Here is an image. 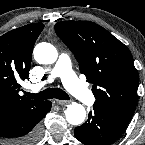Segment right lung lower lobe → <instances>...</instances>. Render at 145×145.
<instances>
[{
  "mask_svg": "<svg viewBox=\"0 0 145 145\" xmlns=\"http://www.w3.org/2000/svg\"><path fill=\"white\" fill-rule=\"evenodd\" d=\"M50 101L0 117V139L10 145H34L41 135L40 121L51 109Z\"/></svg>",
  "mask_w": 145,
  "mask_h": 145,
  "instance_id": "98d812e1",
  "label": "right lung lower lobe"
}]
</instances>
